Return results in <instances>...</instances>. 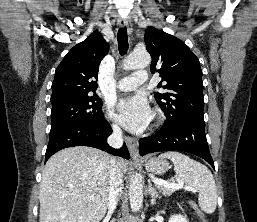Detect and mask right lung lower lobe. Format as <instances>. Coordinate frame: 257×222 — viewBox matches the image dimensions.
<instances>
[{"label":"right lung lower lobe","mask_w":257,"mask_h":222,"mask_svg":"<svg viewBox=\"0 0 257 222\" xmlns=\"http://www.w3.org/2000/svg\"><path fill=\"white\" fill-rule=\"evenodd\" d=\"M111 133V126L105 119L99 124H67L53 129L50 131L45 161L59 150L74 146H90L129 159L125 144L121 149H114L107 144V137Z\"/></svg>","instance_id":"1"}]
</instances>
